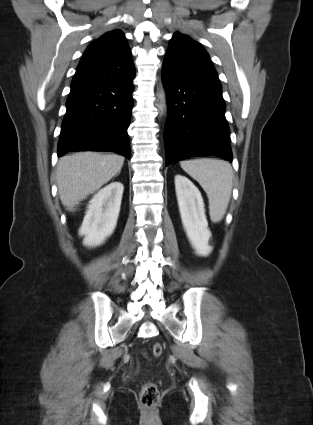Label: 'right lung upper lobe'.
Segmentation results:
<instances>
[{
	"mask_svg": "<svg viewBox=\"0 0 313 425\" xmlns=\"http://www.w3.org/2000/svg\"><path fill=\"white\" fill-rule=\"evenodd\" d=\"M130 64L131 51L121 30H112L94 40L86 49L79 64Z\"/></svg>",
	"mask_w": 313,
	"mask_h": 425,
	"instance_id": "1",
	"label": "right lung upper lobe"
}]
</instances>
